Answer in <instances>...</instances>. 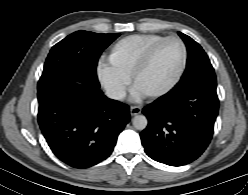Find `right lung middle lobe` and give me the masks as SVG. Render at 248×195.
<instances>
[{
	"instance_id": "obj_1",
	"label": "right lung middle lobe",
	"mask_w": 248,
	"mask_h": 195,
	"mask_svg": "<svg viewBox=\"0 0 248 195\" xmlns=\"http://www.w3.org/2000/svg\"><path fill=\"white\" fill-rule=\"evenodd\" d=\"M119 35L77 31L64 38L52 47L38 82V90L74 80L99 88L96 73L99 56Z\"/></svg>"
}]
</instances>
